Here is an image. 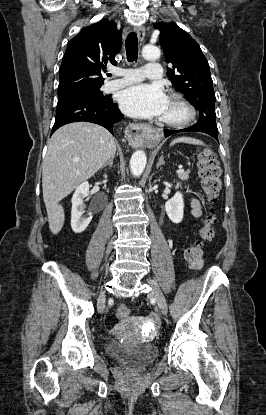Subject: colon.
<instances>
[{"instance_id":"obj_1","label":"colon","mask_w":266,"mask_h":415,"mask_svg":"<svg viewBox=\"0 0 266 415\" xmlns=\"http://www.w3.org/2000/svg\"><path fill=\"white\" fill-rule=\"evenodd\" d=\"M198 172L201 179V187L210 205L217 202L222 188L220 179V167L213 153L207 149H201L198 154ZM215 223L214 211L210 209L203 219V226L199 230L198 237L186 249L185 258L193 270H200L204 265V242L210 241L214 236L213 224ZM119 319L130 316V309L121 305L116 310Z\"/></svg>"}]
</instances>
